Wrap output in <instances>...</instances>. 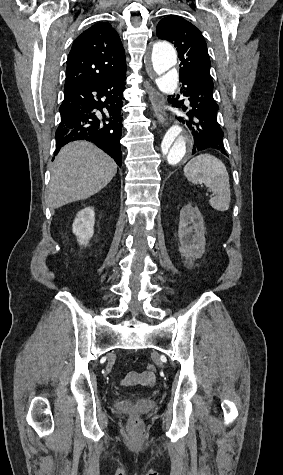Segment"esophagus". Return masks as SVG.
Returning <instances> with one entry per match:
<instances>
[{
  "label": "esophagus",
  "instance_id": "esophagus-1",
  "mask_svg": "<svg viewBox=\"0 0 283 475\" xmlns=\"http://www.w3.org/2000/svg\"><path fill=\"white\" fill-rule=\"evenodd\" d=\"M149 96L156 118L160 123H165L168 120V114L163 108L165 105V99L163 95L158 92V90L153 88L151 89Z\"/></svg>",
  "mask_w": 283,
  "mask_h": 475
}]
</instances>
